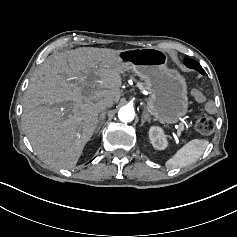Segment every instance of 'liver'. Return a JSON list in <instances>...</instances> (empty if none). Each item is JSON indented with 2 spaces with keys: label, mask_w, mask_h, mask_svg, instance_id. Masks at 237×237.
Returning a JSON list of instances; mask_svg holds the SVG:
<instances>
[{
  "label": "liver",
  "mask_w": 237,
  "mask_h": 237,
  "mask_svg": "<svg viewBox=\"0 0 237 237\" xmlns=\"http://www.w3.org/2000/svg\"><path fill=\"white\" fill-rule=\"evenodd\" d=\"M122 52L81 47L50 56L36 71L23 98L22 125L43 163L77 165L99 123L101 100H120Z\"/></svg>",
  "instance_id": "1"
}]
</instances>
